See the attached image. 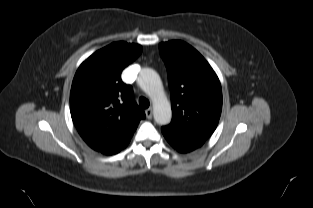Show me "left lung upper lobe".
Instances as JSON below:
<instances>
[{"label": "left lung upper lobe", "mask_w": 313, "mask_h": 208, "mask_svg": "<svg viewBox=\"0 0 313 208\" xmlns=\"http://www.w3.org/2000/svg\"><path fill=\"white\" fill-rule=\"evenodd\" d=\"M168 72L172 121L162 131L178 140L203 145L216 129L222 109L220 81L204 57L189 44H159Z\"/></svg>", "instance_id": "5c2ea615"}]
</instances>
